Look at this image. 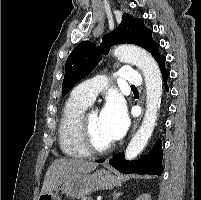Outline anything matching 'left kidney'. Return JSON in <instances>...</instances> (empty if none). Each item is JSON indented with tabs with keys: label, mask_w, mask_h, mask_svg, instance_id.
Here are the masks:
<instances>
[{
	"label": "left kidney",
	"mask_w": 201,
	"mask_h": 200,
	"mask_svg": "<svg viewBox=\"0 0 201 200\" xmlns=\"http://www.w3.org/2000/svg\"><path fill=\"white\" fill-rule=\"evenodd\" d=\"M136 200H151V196L148 193L140 195Z\"/></svg>",
	"instance_id": "obj_1"
}]
</instances>
